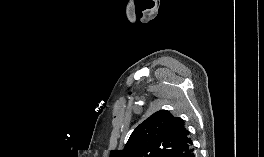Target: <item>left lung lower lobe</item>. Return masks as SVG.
I'll list each match as a JSON object with an SVG mask.
<instances>
[{"label":"left lung lower lobe","instance_id":"obj_1","mask_svg":"<svg viewBox=\"0 0 264 157\" xmlns=\"http://www.w3.org/2000/svg\"><path fill=\"white\" fill-rule=\"evenodd\" d=\"M189 157H196L195 153H194V149L191 151Z\"/></svg>","mask_w":264,"mask_h":157}]
</instances>
